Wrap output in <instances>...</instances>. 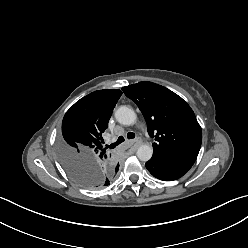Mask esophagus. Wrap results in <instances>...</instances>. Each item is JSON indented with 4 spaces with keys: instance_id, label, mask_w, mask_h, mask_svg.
Segmentation results:
<instances>
[{
    "instance_id": "esophagus-1",
    "label": "esophagus",
    "mask_w": 248,
    "mask_h": 248,
    "mask_svg": "<svg viewBox=\"0 0 248 248\" xmlns=\"http://www.w3.org/2000/svg\"><path fill=\"white\" fill-rule=\"evenodd\" d=\"M140 144H141V140L139 138H137L131 142V147L133 149H136Z\"/></svg>"
}]
</instances>
